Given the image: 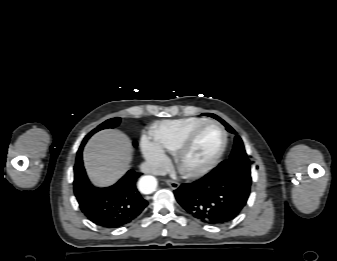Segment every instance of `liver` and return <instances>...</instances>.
Returning <instances> with one entry per match:
<instances>
[{"mask_svg":"<svg viewBox=\"0 0 337 261\" xmlns=\"http://www.w3.org/2000/svg\"><path fill=\"white\" fill-rule=\"evenodd\" d=\"M132 158L129 138L118 130H103L91 137L84 148L83 160L91 180L108 186L122 177Z\"/></svg>","mask_w":337,"mask_h":261,"instance_id":"obj_1","label":"liver"}]
</instances>
